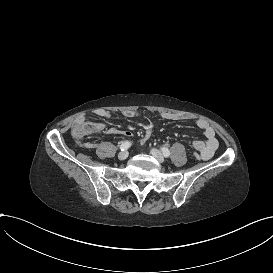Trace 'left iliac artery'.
<instances>
[{"instance_id": "1", "label": "left iliac artery", "mask_w": 273, "mask_h": 273, "mask_svg": "<svg viewBox=\"0 0 273 273\" xmlns=\"http://www.w3.org/2000/svg\"><path fill=\"white\" fill-rule=\"evenodd\" d=\"M162 153L165 157H169L170 156V151L167 148H162Z\"/></svg>"}]
</instances>
